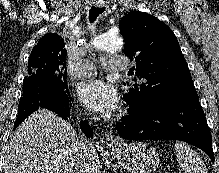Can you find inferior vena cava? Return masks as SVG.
I'll return each mask as SVG.
<instances>
[{"label": "inferior vena cava", "instance_id": "obj_1", "mask_svg": "<svg viewBox=\"0 0 219 173\" xmlns=\"http://www.w3.org/2000/svg\"><path fill=\"white\" fill-rule=\"evenodd\" d=\"M80 154L79 160L75 164V173H90L91 161L97 156L96 146L88 141L84 136H79Z\"/></svg>", "mask_w": 219, "mask_h": 173}]
</instances>
